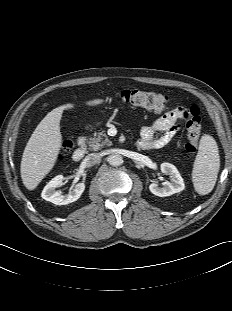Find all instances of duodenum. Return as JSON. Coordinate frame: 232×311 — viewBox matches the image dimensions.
Here are the masks:
<instances>
[{"label":"duodenum","instance_id":"1","mask_svg":"<svg viewBox=\"0 0 232 311\" xmlns=\"http://www.w3.org/2000/svg\"><path fill=\"white\" fill-rule=\"evenodd\" d=\"M85 141H86V139L84 136L79 137L78 147L76 148V150L72 154V159L74 162H80L83 159V157L86 153Z\"/></svg>","mask_w":232,"mask_h":311}]
</instances>
